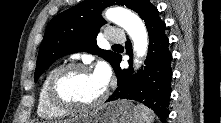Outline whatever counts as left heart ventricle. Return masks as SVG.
I'll use <instances>...</instances> for the list:
<instances>
[{
    "label": "left heart ventricle",
    "instance_id": "left-heart-ventricle-1",
    "mask_svg": "<svg viewBox=\"0 0 221 123\" xmlns=\"http://www.w3.org/2000/svg\"><path fill=\"white\" fill-rule=\"evenodd\" d=\"M104 85L93 71H71L59 81L60 94L67 100L78 103H92L97 100Z\"/></svg>",
    "mask_w": 221,
    "mask_h": 123
}]
</instances>
